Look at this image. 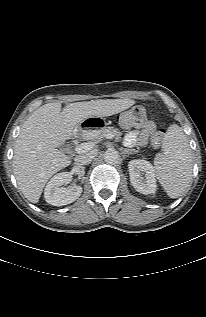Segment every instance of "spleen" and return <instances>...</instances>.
<instances>
[{"label": "spleen", "instance_id": "obj_1", "mask_svg": "<svg viewBox=\"0 0 206 317\" xmlns=\"http://www.w3.org/2000/svg\"><path fill=\"white\" fill-rule=\"evenodd\" d=\"M163 153L156 156L154 171L159 183L170 198H178L192 178L193 159L183 129L171 125L162 143Z\"/></svg>", "mask_w": 206, "mask_h": 317}]
</instances>
